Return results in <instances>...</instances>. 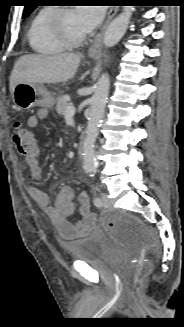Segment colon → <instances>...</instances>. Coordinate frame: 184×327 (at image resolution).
Listing matches in <instances>:
<instances>
[{"label": "colon", "instance_id": "5ec220e1", "mask_svg": "<svg viewBox=\"0 0 184 327\" xmlns=\"http://www.w3.org/2000/svg\"><path fill=\"white\" fill-rule=\"evenodd\" d=\"M13 141L18 152L23 156H29L37 148L35 135L20 122L14 124ZM103 222L108 226L111 235L116 240L129 246H136L138 249L137 258L133 262L132 279L128 288L134 300L141 303L144 280L150 270L146 250L153 242V237L140 220L131 216L106 213L103 215Z\"/></svg>", "mask_w": 184, "mask_h": 327}]
</instances>
